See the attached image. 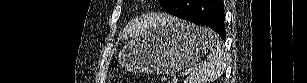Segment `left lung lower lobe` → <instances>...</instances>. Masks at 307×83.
<instances>
[{"instance_id": "0a47b994", "label": "left lung lower lobe", "mask_w": 307, "mask_h": 83, "mask_svg": "<svg viewBox=\"0 0 307 83\" xmlns=\"http://www.w3.org/2000/svg\"><path fill=\"white\" fill-rule=\"evenodd\" d=\"M167 12L196 25H207L225 39L222 0H175Z\"/></svg>"}]
</instances>
